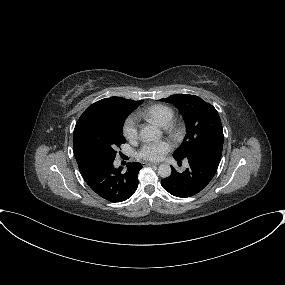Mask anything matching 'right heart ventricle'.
<instances>
[{
  "label": "right heart ventricle",
  "instance_id": "1",
  "mask_svg": "<svg viewBox=\"0 0 285 285\" xmlns=\"http://www.w3.org/2000/svg\"><path fill=\"white\" fill-rule=\"evenodd\" d=\"M138 115L155 121L161 126L167 125L174 116L173 109L167 105L155 104L138 112Z\"/></svg>",
  "mask_w": 285,
  "mask_h": 285
}]
</instances>
